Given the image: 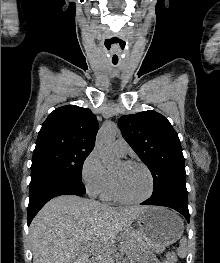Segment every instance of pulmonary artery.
<instances>
[{
    "instance_id": "pulmonary-artery-1",
    "label": "pulmonary artery",
    "mask_w": 220,
    "mask_h": 263,
    "mask_svg": "<svg viewBox=\"0 0 220 263\" xmlns=\"http://www.w3.org/2000/svg\"><path fill=\"white\" fill-rule=\"evenodd\" d=\"M129 149L128 143L123 138H118L114 142V150L119 155H125Z\"/></svg>"
}]
</instances>
